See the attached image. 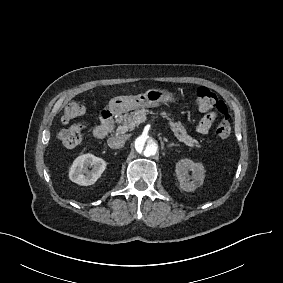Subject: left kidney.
Listing matches in <instances>:
<instances>
[{"instance_id": "5707ae66", "label": "left kidney", "mask_w": 283, "mask_h": 283, "mask_svg": "<svg viewBox=\"0 0 283 283\" xmlns=\"http://www.w3.org/2000/svg\"><path fill=\"white\" fill-rule=\"evenodd\" d=\"M175 171L183 191L192 192L203 184L204 168L199 163L183 159L177 162ZM190 171L192 176H189Z\"/></svg>"}]
</instances>
